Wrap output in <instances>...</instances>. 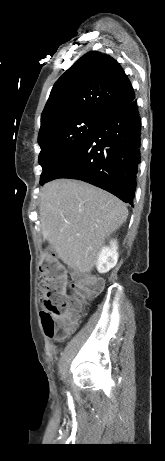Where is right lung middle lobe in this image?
<instances>
[{
  "label": "right lung middle lobe",
  "mask_w": 165,
  "mask_h": 461,
  "mask_svg": "<svg viewBox=\"0 0 165 461\" xmlns=\"http://www.w3.org/2000/svg\"><path fill=\"white\" fill-rule=\"evenodd\" d=\"M100 120L92 116L60 120L49 125L39 134L38 143L41 147L39 164L43 169L40 177L41 185L86 141Z\"/></svg>",
  "instance_id": "1"
}]
</instances>
